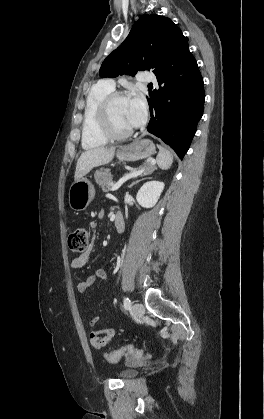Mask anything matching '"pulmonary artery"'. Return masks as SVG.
<instances>
[{"label":"pulmonary artery","mask_w":264,"mask_h":419,"mask_svg":"<svg viewBox=\"0 0 264 419\" xmlns=\"http://www.w3.org/2000/svg\"><path fill=\"white\" fill-rule=\"evenodd\" d=\"M139 80L143 82H156V76L151 72H141L139 74ZM104 83L111 89L115 88V81L113 79H106Z\"/></svg>","instance_id":"obj_1"}]
</instances>
